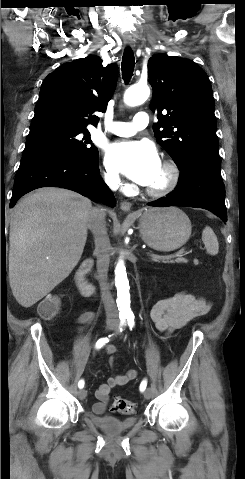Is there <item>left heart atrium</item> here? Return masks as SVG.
I'll return each instance as SVG.
<instances>
[{
	"label": "left heart atrium",
	"mask_w": 245,
	"mask_h": 479,
	"mask_svg": "<svg viewBox=\"0 0 245 479\" xmlns=\"http://www.w3.org/2000/svg\"><path fill=\"white\" fill-rule=\"evenodd\" d=\"M106 162L142 186H149L161 169L156 148L145 140L111 145L107 149Z\"/></svg>",
	"instance_id": "1"
}]
</instances>
